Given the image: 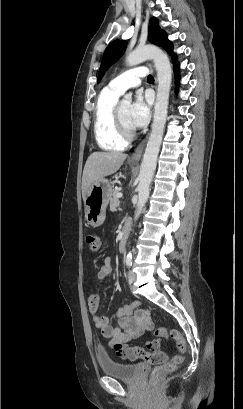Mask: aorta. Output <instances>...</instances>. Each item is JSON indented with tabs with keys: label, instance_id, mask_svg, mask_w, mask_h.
Segmentation results:
<instances>
[{
	"label": "aorta",
	"instance_id": "762f6f07",
	"mask_svg": "<svg viewBox=\"0 0 243 409\" xmlns=\"http://www.w3.org/2000/svg\"><path fill=\"white\" fill-rule=\"evenodd\" d=\"M152 59L157 70V96L154 107L152 130L145 148L139 172L138 203L135 220L140 216L150 192V184L156 169L157 156L160 150L164 128L167 119L169 92L172 80V68L166 53L160 48L147 45L137 47L134 51L127 53L126 65L135 66L145 60ZM132 96L126 94L122 103L130 105ZM130 254H128L129 256Z\"/></svg>",
	"mask_w": 243,
	"mask_h": 409
}]
</instances>
